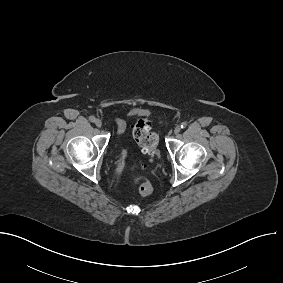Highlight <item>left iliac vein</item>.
Segmentation results:
<instances>
[{"instance_id": "obj_1", "label": "left iliac vein", "mask_w": 283, "mask_h": 283, "mask_svg": "<svg viewBox=\"0 0 283 283\" xmlns=\"http://www.w3.org/2000/svg\"><path fill=\"white\" fill-rule=\"evenodd\" d=\"M181 128L179 126H176L174 129V133L178 134L180 132Z\"/></svg>"}]
</instances>
